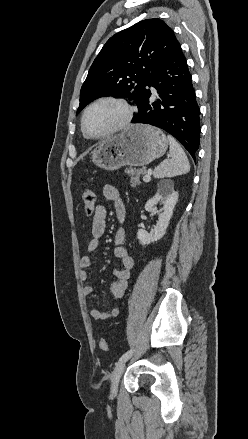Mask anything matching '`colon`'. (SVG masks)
<instances>
[{
    "label": "colon",
    "mask_w": 248,
    "mask_h": 439,
    "mask_svg": "<svg viewBox=\"0 0 248 439\" xmlns=\"http://www.w3.org/2000/svg\"><path fill=\"white\" fill-rule=\"evenodd\" d=\"M95 199L96 197L94 191L91 188L86 187L82 194V201L83 208L87 216H92L95 211ZM98 344L99 348L103 352L109 353V345L104 338H100Z\"/></svg>",
    "instance_id": "1"
}]
</instances>
